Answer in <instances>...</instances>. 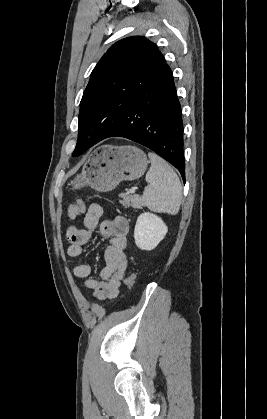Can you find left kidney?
I'll use <instances>...</instances> for the list:
<instances>
[{
  "label": "left kidney",
  "mask_w": 267,
  "mask_h": 419,
  "mask_svg": "<svg viewBox=\"0 0 267 419\" xmlns=\"http://www.w3.org/2000/svg\"><path fill=\"white\" fill-rule=\"evenodd\" d=\"M168 231L162 219L150 212L139 215L134 229L135 244L142 250H153Z\"/></svg>",
  "instance_id": "obj_1"
}]
</instances>
